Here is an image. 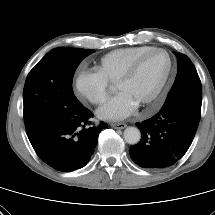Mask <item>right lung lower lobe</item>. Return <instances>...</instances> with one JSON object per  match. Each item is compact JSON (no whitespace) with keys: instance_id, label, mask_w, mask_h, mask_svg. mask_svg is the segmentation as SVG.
Wrapping results in <instances>:
<instances>
[{"instance_id":"98d812e1","label":"right lung lower lobe","mask_w":215,"mask_h":215,"mask_svg":"<svg viewBox=\"0 0 215 215\" xmlns=\"http://www.w3.org/2000/svg\"><path fill=\"white\" fill-rule=\"evenodd\" d=\"M92 113L84 106L68 112L28 135L37 155L52 168L69 172L84 167L94 153L106 123L87 127Z\"/></svg>"}]
</instances>
